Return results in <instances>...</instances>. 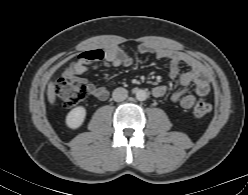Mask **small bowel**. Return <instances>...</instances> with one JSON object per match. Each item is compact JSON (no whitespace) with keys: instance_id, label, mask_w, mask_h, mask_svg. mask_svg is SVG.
<instances>
[{"instance_id":"1","label":"small bowel","mask_w":248,"mask_h":195,"mask_svg":"<svg viewBox=\"0 0 248 195\" xmlns=\"http://www.w3.org/2000/svg\"><path fill=\"white\" fill-rule=\"evenodd\" d=\"M138 52L141 54L152 53L160 59L169 60V75L171 78H178L180 86V89L173 93L171 99L181 107L189 109L195 103L196 97L186 93L190 85L194 86V91L197 96L204 97L209 94V75L206 69L195 59L151 43L141 44L138 47ZM133 62L134 59L132 55L119 47H111L105 50L94 48L85 51L78 61L66 67L64 76L69 79H75L79 78V76L85 72L99 67H128L132 65ZM182 63L187 64L190 70L185 73H180L179 66ZM80 80L86 85L89 93L98 100L103 101L108 98L109 90L106 87L97 86L84 78H80ZM165 93L166 87L163 85H158L153 89L155 97H162Z\"/></svg>"}]
</instances>
